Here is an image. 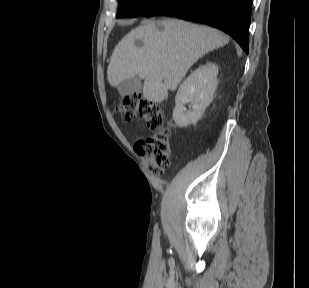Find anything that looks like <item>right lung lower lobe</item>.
<instances>
[{"label": "right lung lower lobe", "mask_w": 309, "mask_h": 288, "mask_svg": "<svg viewBox=\"0 0 309 288\" xmlns=\"http://www.w3.org/2000/svg\"><path fill=\"white\" fill-rule=\"evenodd\" d=\"M252 0H163L143 16L165 15L223 30L248 53Z\"/></svg>", "instance_id": "right-lung-lower-lobe-1"}]
</instances>
